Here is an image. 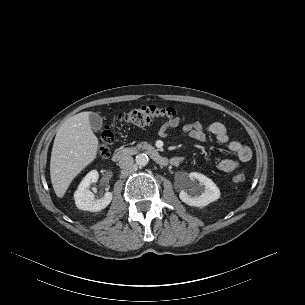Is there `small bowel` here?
Masks as SVG:
<instances>
[{
    "label": "small bowel",
    "instance_id": "obj_1",
    "mask_svg": "<svg viewBox=\"0 0 305 305\" xmlns=\"http://www.w3.org/2000/svg\"><path fill=\"white\" fill-rule=\"evenodd\" d=\"M181 124V119L179 117L174 118L171 121L163 124L159 130L158 134L161 137H168L170 133L176 129ZM206 131L211 133L216 137V139L226 145L229 152L236 156L235 159H224L217 164V168L221 172L229 173L238 169L242 164L250 161L252 157L251 150L248 146L241 144L238 141L230 140L228 135V130L223 123L212 122L205 129L203 125L196 121L191 124H185L181 127L180 133L182 135L188 136L192 139L198 141H205L207 139ZM184 157L174 156L171 158V164L173 166H178L183 163Z\"/></svg>",
    "mask_w": 305,
    "mask_h": 305
}]
</instances>
